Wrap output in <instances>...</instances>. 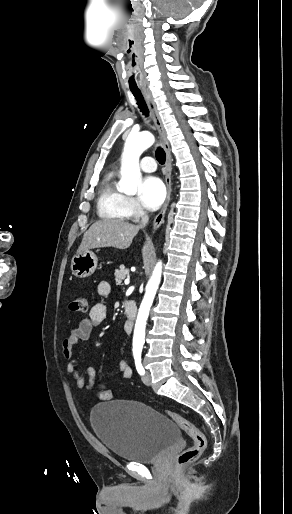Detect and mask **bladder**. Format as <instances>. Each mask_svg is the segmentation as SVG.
I'll list each match as a JSON object with an SVG mask.
<instances>
[{
    "label": "bladder",
    "instance_id": "1",
    "mask_svg": "<svg viewBox=\"0 0 292 514\" xmlns=\"http://www.w3.org/2000/svg\"><path fill=\"white\" fill-rule=\"evenodd\" d=\"M90 422L107 450L128 462H154L180 437L171 418L137 401L97 404L90 412Z\"/></svg>",
    "mask_w": 292,
    "mask_h": 514
}]
</instances>
